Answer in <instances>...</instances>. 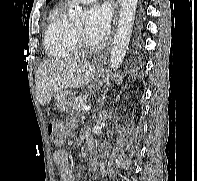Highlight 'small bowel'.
Returning <instances> with one entry per match:
<instances>
[{
  "label": "small bowel",
  "mask_w": 197,
  "mask_h": 181,
  "mask_svg": "<svg viewBox=\"0 0 197 181\" xmlns=\"http://www.w3.org/2000/svg\"><path fill=\"white\" fill-rule=\"evenodd\" d=\"M75 122L71 120L68 128H74ZM54 163L57 165L60 173V181H75V176L70 168L69 156L66 150L59 149L53 154Z\"/></svg>",
  "instance_id": "c3829d8e"
}]
</instances>
